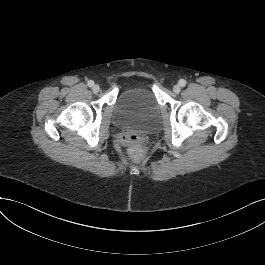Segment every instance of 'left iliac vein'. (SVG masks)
<instances>
[{
  "label": "left iliac vein",
  "mask_w": 265,
  "mask_h": 265,
  "mask_svg": "<svg viewBox=\"0 0 265 265\" xmlns=\"http://www.w3.org/2000/svg\"><path fill=\"white\" fill-rule=\"evenodd\" d=\"M173 91L175 92V93H179L180 91H181V87H180V85H175L174 87H173Z\"/></svg>",
  "instance_id": "1"
}]
</instances>
